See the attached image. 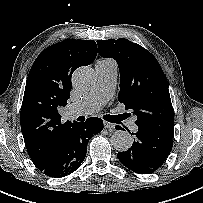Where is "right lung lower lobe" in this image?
Masks as SVG:
<instances>
[{
  "label": "right lung lower lobe",
  "instance_id": "obj_1",
  "mask_svg": "<svg viewBox=\"0 0 203 203\" xmlns=\"http://www.w3.org/2000/svg\"><path fill=\"white\" fill-rule=\"evenodd\" d=\"M102 129L103 121L96 117L88 118L84 123H71L51 158L37 168L45 175L55 178L73 173L85 159L89 140Z\"/></svg>",
  "mask_w": 203,
  "mask_h": 203
}]
</instances>
